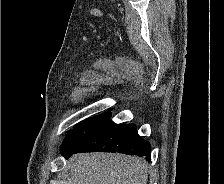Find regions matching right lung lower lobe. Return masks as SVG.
I'll return each instance as SVG.
<instances>
[{
    "label": "right lung lower lobe",
    "mask_w": 224,
    "mask_h": 184,
    "mask_svg": "<svg viewBox=\"0 0 224 184\" xmlns=\"http://www.w3.org/2000/svg\"><path fill=\"white\" fill-rule=\"evenodd\" d=\"M61 154L68 158L80 152H118L128 155L146 156L151 159V145L137 133L135 124H115L108 118L76 143L61 146Z\"/></svg>",
    "instance_id": "1"
}]
</instances>
